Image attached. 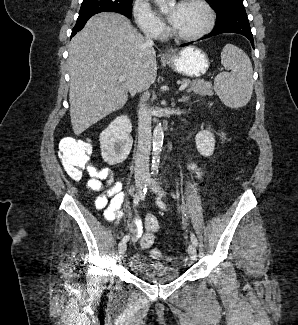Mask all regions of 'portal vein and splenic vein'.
<instances>
[{
	"label": "portal vein and splenic vein",
	"instance_id": "1",
	"mask_svg": "<svg viewBox=\"0 0 298 325\" xmlns=\"http://www.w3.org/2000/svg\"><path fill=\"white\" fill-rule=\"evenodd\" d=\"M124 80H126L125 76H119L118 82H124ZM187 86H189V84H180L178 90H184Z\"/></svg>",
	"mask_w": 298,
	"mask_h": 325
}]
</instances>
